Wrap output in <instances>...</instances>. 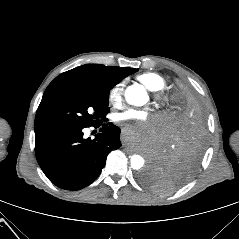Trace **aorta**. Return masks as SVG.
I'll list each match as a JSON object with an SVG mask.
<instances>
[{"instance_id": "1", "label": "aorta", "mask_w": 239, "mask_h": 239, "mask_svg": "<svg viewBox=\"0 0 239 239\" xmlns=\"http://www.w3.org/2000/svg\"><path fill=\"white\" fill-rule=\"evenodd\" d=\"M127 103L135 106H142L148 101V96L143 87L139 85L129 86L125 91ZM145 160L141 155L134 154L130 157L131 168L139 170L144 167Z\"/></svg>"}]
</instances>
